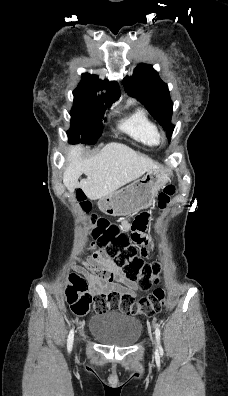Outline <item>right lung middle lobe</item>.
<instances>
[{"instance_id":"obj_1","label":"right lung middle lobe","mask_w":228,"mask_h":396,"mask_svg":"<svg viewBox=\"0 0 228 396\" xmlns=\"http://www.w3.org/2000/svg\"><path fill=\"white\" fill-rule=\"evenodd\" d=\"M71 128L67 132L70 142L95 144L102 134V116L107 104L96 96L73 92ZM106 106V107H105Z\"/></svg>"}]
</instances>
